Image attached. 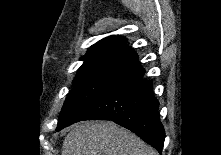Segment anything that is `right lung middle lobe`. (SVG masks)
Masks as SVG:
<instances>
[{
    "mask_svg": "<svg viewBox=\"0 0 221 155\" xmlns=\"http://www.w3.org/2000/svg\"><path fill=\"white\" fill-rule=\"evenodd\" d=\"M124 57L104 55L84 60L73 80V90L67 96L56 131H60L86 115L113 68Z\"/></svg>",
    "mask_w": 221,
    "mask_h": 155,
    "instance_id": "right-lung-middle-lobe-1",
    "label": "right lung middle lobe"
}]
</instances>
